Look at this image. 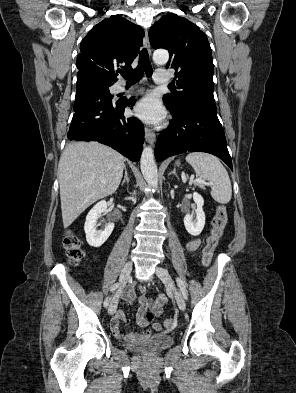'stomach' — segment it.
I'll return each mask as SVG.
<instances>
[{
  "label": "stomach",
  "instance_id": "0dacf381",
  "mask_svg": "<svg viewBox=\"0 0 296 393\" xmlns=\"http://www.w3.org/2000/svg\"><path fill=\"white\" fill-rule=\"evenodd\" d=\"M179 164V162H176V165H178Z\"/></svg>",
  "mask_w": 296,
  "mask_h": 393
}]
</instances>
